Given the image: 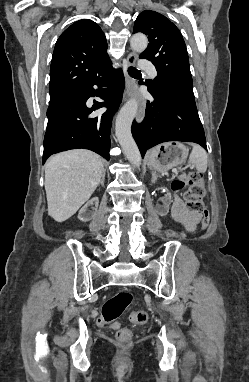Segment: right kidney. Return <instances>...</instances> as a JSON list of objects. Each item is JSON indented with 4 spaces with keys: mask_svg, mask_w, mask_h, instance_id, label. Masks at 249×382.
I'll list each match as a JSON object with an SVG mask.
<instances>
[{
    "mask_svg": "<svg viewBox=\"0 0 249 382\" xmlns=\"http://www.w3.org/2000/svg\"><path fill=\"white\" fill-rule=\"evenodd\" d=\"M98 203H99L98 197H94V198L90 199V201L87 202V204L84 205L80 209V211L78 213V219L83 221V222L90 221L93 218L94 213L92 211L88 210V207L89 208L92 207L93 204L98 205Z\"/></svg>",
    "mask_w": 249,
    "mask_h": 382,
    "instance_id": "obj_1",
    "label": "right kidney"
}]
</instances>
